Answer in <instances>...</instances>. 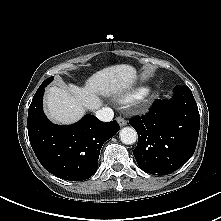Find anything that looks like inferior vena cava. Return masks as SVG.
Returning a JSON list of instances; mask_svg holds the SVG:
<instances>
[{"mask_svg":"<svg viewBox=\"0 0 221 221\" xmlns=\"http://www.w3.org/2000/svg\"><path fill=\"white\" fill-rule=\"evenodd\" d=\"M95 115L99 120H101L103 122H109L113 119L114 112L111 108L103 107V108L97 110Z\"/></svg>","mask_w":221,"mask_h":221,"instance_id":"obj_1","label":"inferior vena cava"}]
</instances>
